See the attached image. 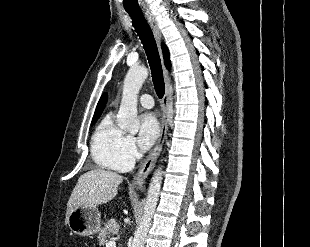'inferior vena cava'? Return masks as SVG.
Segmentation results:
<instances>
[{
  "mask_svg": "<svg viewBox=\"0 0 310 247\" xmlns=\"http://www.w3.org/2000/svg\"><path fill=\"white\" fill-rule=\"evenodd\" d=\"M136 157H137L138 159H140V158L142 157V154L138 152V153L136 154Z\"/></svg>",
  "mask_w": 310,
  "mask_h": 247,
  "instance_id": "1",
  "label": "inferior vena cava"
}]
</instances>
